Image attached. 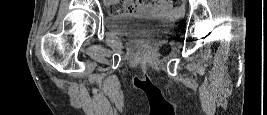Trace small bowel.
I'll use <instances>...</instances> for the list:
<instances>
[{"label": "small bowel", "instance_id": "obj_1", "mask_svg": "<svg viewBox=\"0 0 267 115\" xmlns=\"http://www.w3.org/2000/svg\"><path fill=\"white\" fill-rule=\"evenodd\" d=\"M168 0H159L156 2H134L128 5V12L133 14H157L167 15L179 12Z\"/></svg>", "mask_w": 267, "mask_h": 115}]
</instances>
